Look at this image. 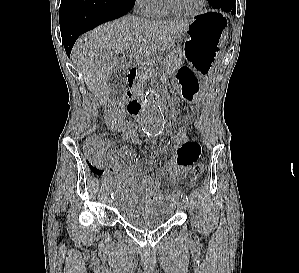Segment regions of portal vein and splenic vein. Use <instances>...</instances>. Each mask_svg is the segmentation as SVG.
I'll return each instance as SVG.
<instances>
[{"label": "portal vein and splenic vein", "mask_w": 299, "mask_h": 273, "mask_svg": "<svg viewBox=\"0 0 299 273\" xmlns=\"http://www.w3.org/2000/svg\"><path fill=\"white\" fill-rule=\"evenodd\" d=\"M136 61H137L138 63H141V62L143 61V58H142V57H137V58H136Z\"/></svg>", "instance_id": "1"}]
</instances>
